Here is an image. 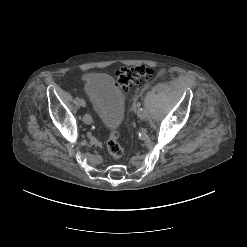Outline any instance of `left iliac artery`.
<instances>
[{
  "label": "left iliac artery",
  "instance_id": "obj_1",
  "mask_svg": "<svg viewBox=\"0 0 247 247\" xmlns=\"http://www.w3.org/2000/svg\"><path fill=\"white\" fill-rule=\"evenodd\" d=\"M138 113L144 114L145 113V110L143 108H141V109L138 110Z\"/></svg>",
  "mask_w": 247,
  "mask_h": 247
}]
</instances>
